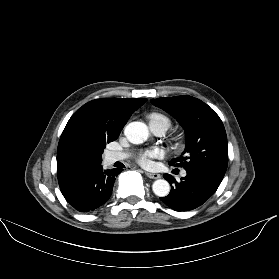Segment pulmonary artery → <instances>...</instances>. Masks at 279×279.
Returning <instances> with one entry per match:
<instances>
[{
    "label": "pulmonary artery",
    "instance_id": "obj_1",
    "mask_svg": "<svg viewBox=\"0 0 279 279\" xmlns=\"http://www.w3.org/2000/svg\"><path fill=\"white\" fill-rule=\"evenodd\" d=\"M150 129L156 135H162L166 131V128L164 126L158 125V124H150ZM127 157H128V154L125 152L112 151L107 154L106 160L108 163H114L116 161L123 160ZM185 175H186V172L183 171L182 176H185Z\"/></svg>",
    "mask_w": 279,
    "mask_h": 279
}]
</instances>
